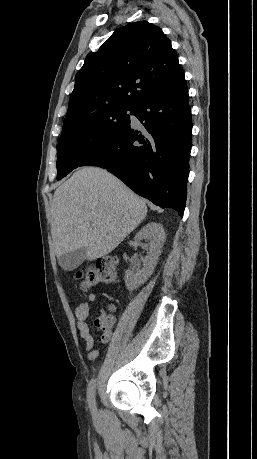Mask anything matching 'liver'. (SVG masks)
Segmentation results:
<instances>
[{
  "label": "liver",
  "mask_w": 257,
  "mask_h": 459,
  "mask_svg": "<svg viewBox=\"0 0 257 459\" xmlns=\"http://www.w3.org/2000/svg\"><path fill=\"white\" fill-rule=\"evenodd\" d=\"M147 206L98 167H83L54 192L51 234L56 256L85 248L88 261L113 251L145 219Z\"/></svg>",
  "instance_id": "6515ba94"
}]
</instances>
